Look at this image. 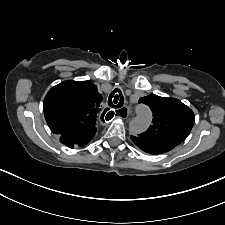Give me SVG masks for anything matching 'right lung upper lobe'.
<instances>
[{
  "mask_svg": "<svg viewBox=\"0 0 225 225\" xmlns=\"http://www.w3.org/2000/svg\"><path fill=\"white\" fill-rule=\"evenodd\" d=\"M101 101L102 96L93 83L67 80L47 93L44 115L51 131L57 135L93 137Z\"/></svg>",
  "mask_w": 225,
  "mask_h": 225,
  "instance_id": "cb5924a9",
  "label": "right lung upper lobe"
}]
</instances>
